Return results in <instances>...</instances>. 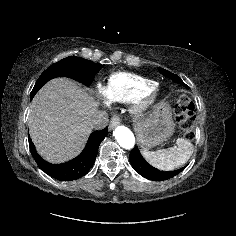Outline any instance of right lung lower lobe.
Wrapping results in <instances>:
<instances>
[{
	"label": "right lung lower lobe",
	"mask_w": 236,
	"mask_h": 236,
	"mask_svg": "<svg viewBox=\"0 0 236 236\" xmlns=\"http://www.w3.org/2000/svg\"><path fill=\"white\" fill-rule=\"evenodd\" d=\"M107 134L108 127L103 130L93 132L80 155L59 165L48 163L42 159L36 152L30 137H28V140L31 154L41 170L57 180L71 181L76 180L88 173L96 160L99 144L107 136Z\"/></svg>",
	"instance_id": "1"
}]
</instances>
